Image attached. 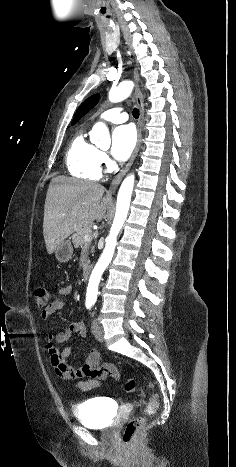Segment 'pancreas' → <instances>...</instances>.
<instances>
[{
	"label": "pancreas",
	"instance_id": "cf45deb5",
	"mask_svg": "<svg viewBox=\"0 0 236 467\" xmlns=\"http://www.w3.org/2000/svg\"><path fill=\"white\" fill-rule=\"evenodd\" d=\"M91 234H92V230L89 227H84V228H81L80 230L76 231L72 235V242H73L75 248L81 247L83 250H86L88 248V246L90 245V241L85 242L84 237H85V235H91ZM91 249L93 250V247ZM88 263H89V261H86V264H84V269L86 268Z\"/></svg>",
	"mask_w": 236,
	"mask_h": 467
}]
</instances>
